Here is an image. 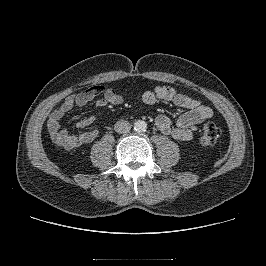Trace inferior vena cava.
I'll list each match as a JSON object with an SVG mask.
<instances>
[{"mask_svg":"<svg viewBox=\"0 0 266 266\" xmlns=\"http://www.w3.org/2000/svg\"><path fill=\"white\" fill-rule=\"evenodd\" d=\"M114 129L117 133L124 134L130 131L131 124L128 121L120 120L116 122Z\"/></svg>","mask_w":266,"mask_h":266,"instance_id":"602c4592","label":"inferior vena cava"}]
</instances>
